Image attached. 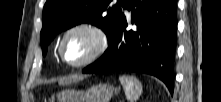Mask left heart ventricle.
Listing matches in <instances>:
<instances>
[{"label":"left heart ventricle","instance_id":"obj_1","mask_svg":"<svg viewBox=\"0 0 221 102\" xmlns=\"http://www.w3.org/2000/svg\"><path fill=\"white\" fill-rule=\"evenodd\" d=\"M92 38L83 32H77L68 37L64 46V54L69 62H79L84 59L92 49Z\"/></svg>","mask_w":221,"mask_h":102}]
</instances>
